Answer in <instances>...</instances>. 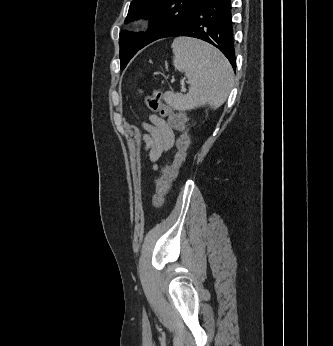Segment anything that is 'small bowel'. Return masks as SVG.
Returning a JSON list of instances; mask_svg holds the SVG:
<instances>
[{
    "instance_id": "obj_1",
    "label": "small bowel",
    "mask_w": 333,
    "mask_h": 346,
    "mask_svg": "<svg viewBox=\"0 0 333 346\" xmlns=\"http://www.w3.org/2000/svg\"><path fill=\"white\" fill-rule=\"evenodd\" d=\"M149 123H143L144 148L150 161L156 162L175 142V134L171 125L158 115H149Z\"/></svg>"
}]
</instances>
